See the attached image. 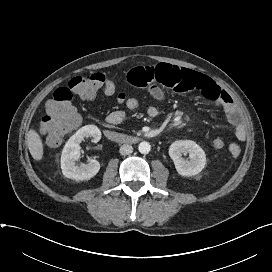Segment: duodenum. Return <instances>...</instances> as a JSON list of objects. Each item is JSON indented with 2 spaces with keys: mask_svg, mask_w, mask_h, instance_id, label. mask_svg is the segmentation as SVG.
<instances>
[{
  "mask_svg": "<svg viewBox=\"0 0 272 272\" xmlns=\"http://www.w3.org/2000/svg\"><path fill=\"white\" fill-rule=\"evenodd\" d=\"M104 136L112 142L123 144H135L140 141V138L137 136L127 135L109 129L104 130Z\"/></svg>",
  "mask_w": 272,
  "mask_h": 272,
  "instance_id": "1",
  "label": "duodenum"
}]
</instances>
